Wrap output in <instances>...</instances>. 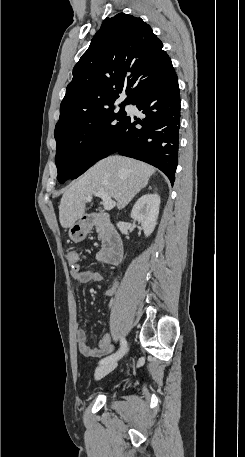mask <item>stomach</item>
<instances>
[{
    "label": "stomach",
    "mask_w": 245,
    "mask_h": 457,
    "mask_svg": "<svg viewBox=\"0 0 245 457\" xmlns=\"http://www.w3.org/2000/svg\"><path fill=\"white\" fill-rule=\"evenodd\" d=\"M91 224L90 220H78L73 226H70L68 235L71 241H74V243L84 241L87 233L91 231Z\"/></svg>",
    "instance_id": "obj_1"
}]
</instances>
